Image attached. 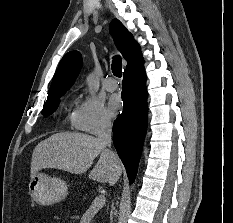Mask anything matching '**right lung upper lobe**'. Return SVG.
Instances as JSON below:
<instances>
[{
    "label": "right lung upper lobe",
    "mask_w": 233,
    "mask_h": 223,
    "mask_svg": "<svg viewBox=\"0 0 233 223\" xmlns=\"http://www.w3.org/2000/svg\"><path fill=\"white\" fill-rule=\"evenodd\" d=\"M109 27L115 45L128 63L125 72L142 67L144 61L141 55L140 46L134 40L132 34L117 19L112 20ZM81 66L82 57L78 51H71L64 55L53 77L48 97L44 105L58 102L60 97H62L74 83L80 72Z\"/></svg>",
    "instance_id": "obj_1"
}]
</instances>
